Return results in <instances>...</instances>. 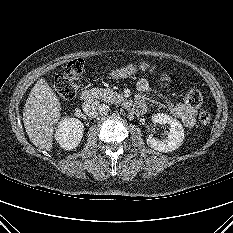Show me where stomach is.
I'll return each mask as SVG.
<instances>
[{"label":"stomach","instance_id":"obj_1","mask_svg":"<svg viewBox=\"0 0 233 233\" xmlns=\"http://www.w3.org/2000/svg\"><path fill=\"white\" fill-rule=\"evenodd\" d=\"M149 63L146 62L145 60L140 62L139 68L142 71H145L149 68ZM137 72V66L134 64H129L125 67L122 68H117L115 70H112L110 73V78L112 79H123L127 78Z\"/></svg>","mask_w":233,"mask_h":233}]
</instances>
